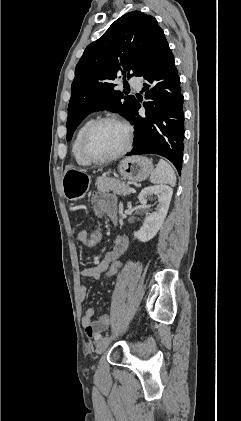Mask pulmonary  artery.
Segmentation results:
<instances>
[{"instance_id": "obj_1", "label": "pulmonary artery", "mask_w": 241, "mask_h": 421, "mask_svg": "<svg viewBox=\"0 0 241 421\" xmlns=\"http://www.w3.org/2000/svg\"><path fill=\"white\" fill-rule=\"evenodd\" d=\"M129 84L135 89V90H141L142 84L139 78L133 77L129 80Z\"/></svg>"}]
</instances>
